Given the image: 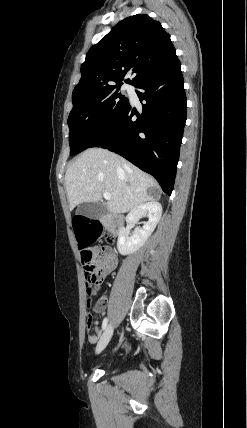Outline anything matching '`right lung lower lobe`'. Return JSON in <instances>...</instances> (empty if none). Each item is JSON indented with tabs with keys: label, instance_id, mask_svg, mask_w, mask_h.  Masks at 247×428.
<instances>
[{
	"label": "right lung lower lobe",
	"instance_id": "obj_1",
	"mask_svg": "<svg viewBox=\"0 0 247 428\" xmlns=\"http://www.w3.org/2000/svg\"><path fill=\"white\" fill-rule=\"evenodd\" d=\"M135 87L140 89L136 93L142 114L129 103L90 147L121 155L155 177L162 190L171 195L186 122L184 80L177 56Z\"/></svg>",
	"mask_w": 247,
	"mask_h": 428
}]
</instances>
